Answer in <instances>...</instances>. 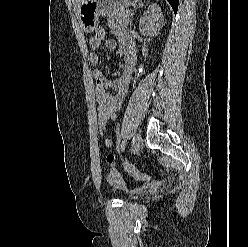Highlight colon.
<instances>
[{"instance_id": "colon-1", "label": "colon", "mask_w": 248, "mask_h": 247, "mask_svg": "<svg viewBox=\"0 0 248 247\" xmlns=\"http://www.w3.org/2000/svg\"><path fill=\"white\" fill-rule=\"evenodd\" d=\"M95 34H96L95 36L99 37V38H103L105 36L104 30L101 27H98L96 29ZM115 140H116V147L120 151V149L122 148V131H121V127L119 124H117L115 127ZM120 159H121V162H122L124 168L134 178L139 179V180H147L149 178V176L147 174L139 172L129 162L128 158L125 155L120 153Z\"/></svg>"}]
</instances>
